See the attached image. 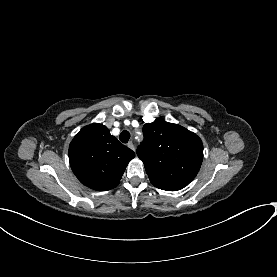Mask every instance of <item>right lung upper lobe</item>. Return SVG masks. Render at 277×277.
I'll return each instance as SVG.
<instances>
[{"label":"right lung upper lobe","mask_w":277,"mask_h":277,"mask_svg":"<svg viewBox=\"0 0 277 277\" xmlns=\"http://www.w3.org/2000/svg\"><path fill=\"white\" fill-rule=\"evenodd\" d=\"M135 153L101 124L83 127L69 146L70 166L85 186L106 191L115 188Z\"/></svg>","instance_id":"right-lung-upper-lobe-1"}]
</instances>
